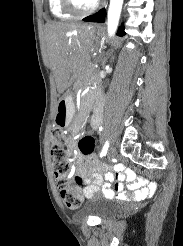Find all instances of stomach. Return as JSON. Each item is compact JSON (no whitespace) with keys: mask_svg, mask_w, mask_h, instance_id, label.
<instances>
[{"mask_svg":"<svg viewBox=\"0 0 183 246\" xmlns=\"http://www.w3.org/2000/svg\"><path fill=\"white\" fill-rule=\"evenodd\" d=\"M99 32H96L94 39H97ZM75 112L73 97L70 94H64L57 103V111L54 122L60 128L68 127L72 121Z\"/></svg>","mask_w":183,"mask_h":246,"instance_id":"0dacf381","label":"stomach"}]
</instances>
